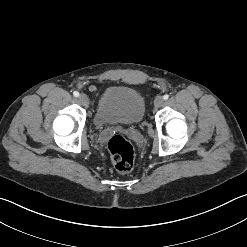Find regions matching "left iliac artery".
Masks as SVG:
<instances>
[{
  "label": "left iliac artery",
  "mask_w": 247,
  "mask_h": 247,
  "mask_svg": "<svg viewBox=\"0 0 247 247\" xmlns=\"http://www.w3.org/2000/svg\"><path fill=\"white\" fill-rule=\"evenodd\" d=\"M169 98V95L168 94H165L164 96H163V99L164 100H167Z\"/></svg>",
  "instance_id": "1"
}]
</instances>
